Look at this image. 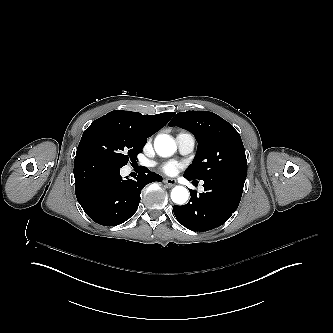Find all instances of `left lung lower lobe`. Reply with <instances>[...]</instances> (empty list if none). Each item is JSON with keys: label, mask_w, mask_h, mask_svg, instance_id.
<instances>
[{"label": "left lung lower lobe", "mask_w": 333, "mask_h": 333, "mask_svg": "<svg viewBox=\"0 0 333 333\" xmlns=\"http://www.w3.org/2000/svg\"><path fill=\"white\" fill-rule=\"evenodd\" d=\"M184 177L197 182L188 176ZM245 179L236 176L217 177L204 183V193L190 190V201L175 205L174 214L184 227L192 231H208L225 223L236 211L241 200Z\"/></svg>", "instance_id": "obj_1"}]
</instances>
